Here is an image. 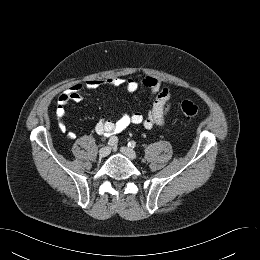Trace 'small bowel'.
Wrapping results in <instances>:
<instances>
[{
    "mask_svg": "<svg viewBox=\"0 0 260 260\" xmlns=\"http://www.w3.org/2000/svg\"><path fill=\"white\" fill-rule=\"evenodd\" d=\"M142 85L146 87L151 96H154L152 107L146 115L139 112L124 114L117 120H109L101 117L95 124L97 134L109 136L118 134L131 125H141L145 129H151L154 126H163L166 116L170 110L172 92L164 86L162 82L151 75L145 76L141 81L134 78L111 77L107 79H89L76 82L64 90L58 98V107L56 116L59 120V127L62 131H66L64 122L65 107L70 102H79L81 100V92L85 89L95 90L102 87H121L124 86L128 92H134ZM70 139H75L76 134L72 131L67 132Z\"/></svg>",
    "mask_w": 260,
    "mask_h": 260,
    "instance_id": "obj_1",
    "label": "small bowel"
}]
</instances>
